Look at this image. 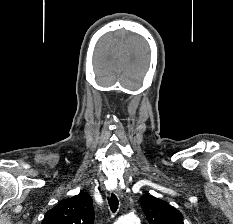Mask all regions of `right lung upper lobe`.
<instances>
[{
    "mask_svg": "<svg viewBox=\"0 0 233 224\" xmlns=\"http://www.w3.org/2000/svg\"><path fill=\"white\" fill-rule=\"evenodd\" d=\"M94 209L92 198L82 192L60 201L47 211L42 224H93Z\"/></svg>",
    "mask_w": 233,
    "mask_h": 224,
    "instance_id": "1",
    "label": "right lung upper lobe"
}]
</instances>
